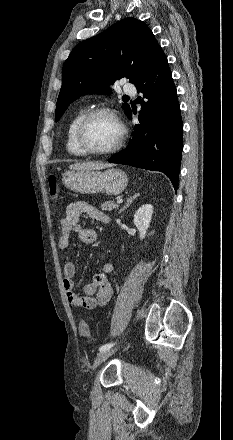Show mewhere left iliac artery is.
<instances>
[{
    "label": "left iliac artery",
    "mask_w": 233,
    "mask_h": 440,
    "mask_svg": "<svg viewBox=\"0 0 233 440\" xmlns=\"http://www.w3.org/2000/svg\"><path fill=\"white\" fill-rule=\"evenodd\" d=\"M114 344H115V343H107V344H104V345H102V346L99 348V351L102 352V351L108 350V349H110Z\"/></svg>",
    "instance_id": "left-iliac-artery-1"
}]
</instances>
